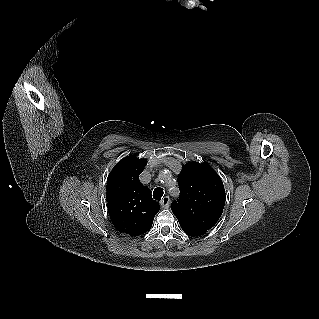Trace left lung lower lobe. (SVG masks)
Wrapping results in <instances>:
<instances>
[{
    "label": "left lung lower lobe",
    "instance_id": "left-lung-lower-lobe-1",
    "mask_svg": "<svg viewBox=\"0 0 319 319\" xmlns=\"http://www.w3.org/2000/svg\"><path fill=\"white\" fill-rule=\"evenodd\" d=\"M181 228L183 229V231L187 234V235H190V236H200V235H203L206 233V231H202V230H195V229H191L189 227H185V226H182L180 225Z\"/></svg>",
    "mask_w": 319,
    "mask_h": 319
}]
</instances>
